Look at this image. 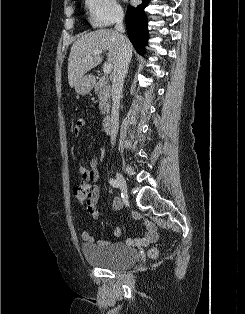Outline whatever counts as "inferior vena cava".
<instances>
[{
    "label": "inferior vena cava",
    "mask_w": 245,
    "mask_h": 314,
    "mask_svg": "<svg viewBox=\"0 0 245 314\" xmlns=\"http://www.w3.org/2000/svg\"><path fill=\"white\" fill-rule=\"evenodd\" d=\"M123 13H119L116 17L115 29L121 37V49L119 56L114 64V71L112 74V110H111V143L114 144L119 127V105L120 97L123 89L124 79L128 70V65L132 57V50L128 44L123 25Z\"/></svg>",
    "instance_id": "obj_1"
}]
</instances>
